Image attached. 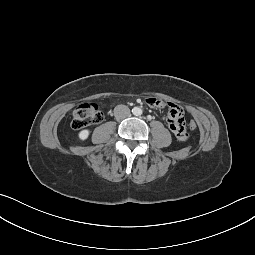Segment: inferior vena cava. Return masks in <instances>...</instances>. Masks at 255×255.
Wrapping results in <instances>:
<instances>
[{"label":"inferior vena cava","instance_id":"obj_1","mask_svg":"<svg viewBox=\"0 0 255 255\" xmlns=\"http://www.w3.org/2000/svg\"><path fill=\"white\" fill-rule=\"evenodd\" d=\"M114 115L118 119H124L126 117H129L130 109L126 105H117L114 108Z\"/></svg>","mask_w":255,"mask_h":255}]
</instances>
